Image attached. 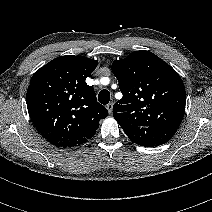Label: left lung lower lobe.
<instances>
[{
    "mask_svg": "<svg viewBox=\"0 0 212 212\" xmlns=\"http://www.w3.org/2000/svg\"><path fill=\"white\" fill-rule=\"evenodd\" d=\"M177 129L150 126L135 128L127 133V136L136 144L148 147L159 146L170 140Z\"/></svg>",
    "mask_w": 212,
    "mask_h": 212,
    "instance_id": "1",
    "label": "left lung lower lobe"
}]
</instances>
